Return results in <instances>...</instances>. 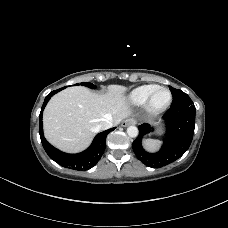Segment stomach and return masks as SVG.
<instances>
[{
  "mask_svg": "<svg viewBox=\"0 0 228 228\" xmlns=\"http://www.w3.org/2000/svg\"><path fill=\"white\" fill-rule=\"evenodd\" d=\"M162 132H163V129L162 128H158L157 129V134H162Z\"/></svg>",
  "mask_w": 228,
  "mask_h": 228,
  "instance_id": "obj_1",
  "label": "stomach"
}]
</instances>
